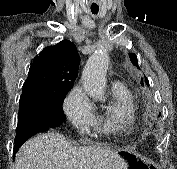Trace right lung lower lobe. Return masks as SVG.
<instances>
[{
  "label": "right lung lower lobe",
  "instance_id": "right-lung-lower-lobe-1",
  "mask_svg": "<svg viewBox=\"0 0 177 169\" xmlns=\"http://www.w3.org/2000/svg\"><path fill=\"white\" fill-rule=\"evenodd\" d=\"M50 126L34 120L19 122L14 140V152L31 136L39 132H46Z\"/></svg>",
  "mask_w": 177,
  "mask_h": 169
}]
</instances>
